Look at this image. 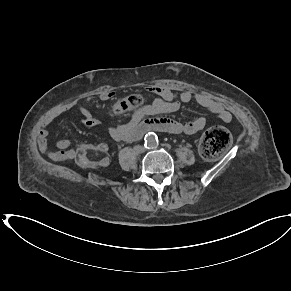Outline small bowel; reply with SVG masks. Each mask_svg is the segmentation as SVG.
Here are the masks:
<instances>
[{"label":"small bowel","mask_w":291,"mask_h":291,"mask_svg":"<svg viewBox=\"0 0 291 291\" xmlns=\"http://www.w3.org/2000/svg\"><path fill=\"white\" fill-rule=\"evenodd\" d=\"M146 90L156 98L150 104L136 107L127 122L109 127L108 132L114 140L118 142H132L141 138L150 130L188 135L203 130L207 124V119L203 116L188 122H180L168 117H157L158 115L175 113L182 104L190 101H195L223 123H230L232 121V115L227 108L207 94L193 93L189 90L173 92L161 85H150ZM115 96V92L106 91L100 94L98 99L110 101ZM88 102L89 99L70 102L45 117L37 136L39 149L44 155L53 161L71 160L75 157V151L71 148V141L69 139H57L55 141L54 146L58 151L48 147L49 126L53 121L70 110H77L81 114V123L84 126L91 127L96 125L98 119L89 111L87 107ZM99 146L103 151L107 150L105 144H100Z\"/></svg>","instance_id":"small-bowel-1"}]
</instances>
